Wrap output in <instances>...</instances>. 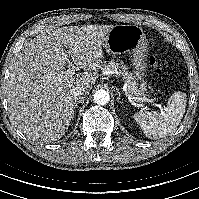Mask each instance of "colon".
I'll return each instance as SVG.
<instances>
[{"label":"colon","instance_id":"1","mask_svg":"<svg viewBox=\"0 0 199 199\" xmlns=\"http://www.w3.org/2000/svg\"><path fill=\"white\" fill-rule=\"evenodd\" d=\"M149 62L151 67L154 69L156 74H161L163 71L162 64L160 62L159 56L156 53H153L149 57Z\"/></svg>","mask_w":199,"mask_h":199}]
</instances>
